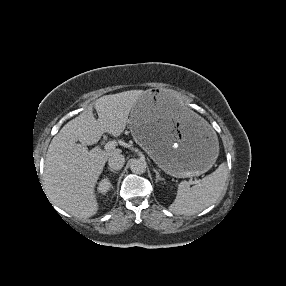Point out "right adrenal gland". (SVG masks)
<instances>
[{
  "label": "right adrenal gland",
  "mask_w": 286,
  "mask_h": 286,
  "mask_svg": "<svg viewBox=\"0 0 286 286\" xmlns=\"http://www.w3.org/2000/svg\"><path fill=\"white\" fill-rule=\"evenodd\" d=\"M107 169H108V171H111L112 173H118L117 171H115V170H113L111 168H107Z\"/></svg>",
  "instance_id": "obj_1"
}]
</instances>
